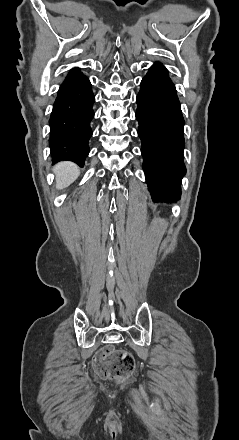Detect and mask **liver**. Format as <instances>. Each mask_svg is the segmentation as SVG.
<instances>
[{
    "instance_id": "1",
    "label": "liver",
    "mask_w": 239,
    "mask_h": 440,
    "mask_svg": "<svg viewBox=\"0 0 239 440\" xmlns=\"http://www.w3.org/2000/svg\"><path fill=\"white\" fill-rule=\"evenodd\" d=\"M53 172L56 174V188L57 190H63L68 188L70 184H73L77 180L80 170L76 164L72 162H60L53 168Z\"/></svg>"
}]
</instances>
